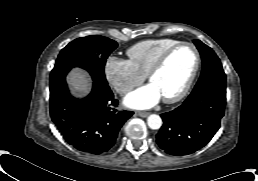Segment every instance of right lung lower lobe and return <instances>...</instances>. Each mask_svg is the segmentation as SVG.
<instances>
[{
	"mask_svg": "<svg viewBox=\"0 0 258 181\" xmlns=\"http://www.w3.org/2000/svg\"><path fill=\"white\" fill-rule=\"evenodd\" d=\"M69 68L54 66L50 75V115L64 139L79 151L91 154L107 152L115 144L118 132L133 115L118 111V101L108 83L94 81L91 93L76 99L68 91L65 77Z\"/></svg>",
	"mask_w": 258,
	"mask_h": 181,
	"instance_id": "1",
	"label": "right lung lower lobe"
}]
</instances>
